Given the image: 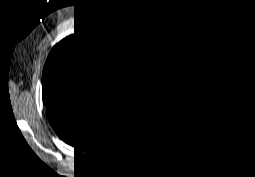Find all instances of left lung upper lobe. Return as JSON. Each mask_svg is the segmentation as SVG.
<instances>
[{
  "mask_svg": "<svg viewBox=\"0 0 255 177\" xmlns=\"http://www.w3.org/2000/svg\"><path fill=\"white\" fill-rule=\"evenodd\" d=\"M140 34L155 55L153 77L166 89L160 100L183 107L196 106L203 86L198 51L168 30L158 28ZM172 54L174 63L170 64ZM185 84L190 87L186 89Z\"/></svg>",
  "mask_w": 255,
  "mask_h": 177,
  "instance_id": "1",
  "label": "left lung upper lobe"
}]
</instances>
